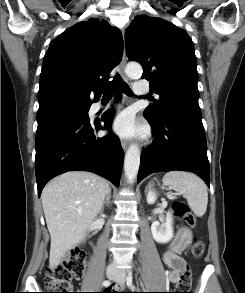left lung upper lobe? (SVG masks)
Instances as JSON below:
<instances>
[{
    "mask_svg": "<svg viewBox=\"0 0 245 293\" xmlns=\"http://www.w3.org/2000/svg\"><path fill=\"white\" fill-rule=\"evenodd\" d=\"M126 54L143 67L142 78L160 96L144 111L152 118L167 110L201 116L194 45L187 32L161 18L137 16L125 31Z\"/></svg>",
    "mask_w": 245,
    "mask_h": 293,
    "instance_id": "left-lung-upper-lobe-1",
    "label": "left lung upper lobe"
}]
</instances>
